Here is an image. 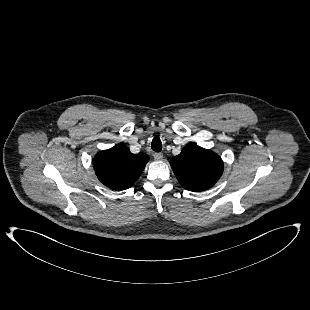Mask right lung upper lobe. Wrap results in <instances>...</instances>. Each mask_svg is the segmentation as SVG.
<instances>
[{"label": "right lung upper lobe", "mask_w": 310, "mask_h": 310, "mask_svg": "<svg viewBox=\"0 0 310 310\" xmlns=\"http://www.w3.org/2000/svg\"><path fill=\"white\" fill-rule=\"evenodd\" d=\"M149 161L147 154H133L124 144H116L100 151L93 159V167L100 182L121 191L130 188Z\"/></svg>", "instance_id": "cb5924a9"}]
</instances>
